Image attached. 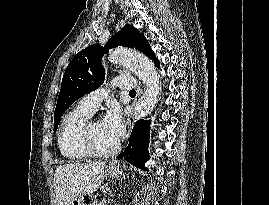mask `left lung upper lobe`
Here are the masks:
<instances>
[{"instance_id": "5c2ea615", "label": "left lung upper lobe", "mask_w": 269, "mask_h": 205, "mask_svg": "<svg viewBox=\"0 0 269 205\" xmlns=\"http://www.w3.org/2000/svg\"><path fill=\"white\" fill-rule=\"evenodd\" d=\"M119 46L135 48L157 61L147 39L129 24L113 35L104 47L94 44L80 51L69 63L62 79L54 112V131L57 130L60 117L71 104L86 93L100 87L105 76L101 59L109 49Z\"/></svg>"}]
</instances>
